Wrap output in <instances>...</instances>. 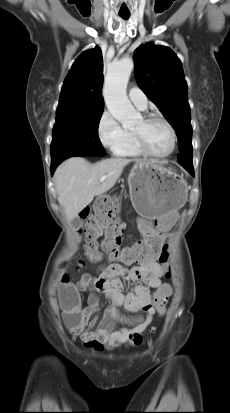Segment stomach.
I'll use <instances>...</instances> for the list:
<instances>
[{
	"instance_id": "1",
	"label": "stomach",
	"mask_w": 230,
	"mask_h": 413,
	"mask_svg": "<svg viewBox=\"0 0 230 413\" xmlns=\"http://www.w3.org/2000/svg\"><path fill=\"white\" fill-rule=\"evenodd\" d=\"M128 183L133 207L144 218L158 219L176 213L187 200L183 177L153 161L137 162Z\"/></svg>"
}]
</instances>
